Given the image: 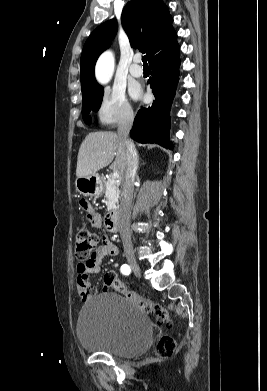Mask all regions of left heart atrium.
Listing matches in <instances>:
<instances>
[{
    "instance_id": "left-heart-atrium-1",
    "label": "left heart atrium",
    "mask_w": 267,
    "mask_h": 391,
    "mask_svg": "<svg viewBox=\"0 0 267 391\" xmlns=\"http://www.w3.org/2000/svg\"><path fill=\"white\" fill-rule=\"evenodd\" d=\"M133 94H134V95H137V94H138V91H137V90H133Z\"/></svg>"
}]
</instances>
